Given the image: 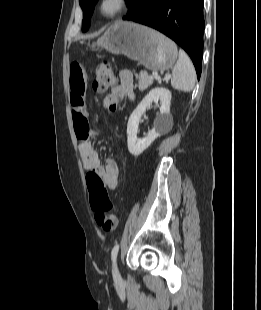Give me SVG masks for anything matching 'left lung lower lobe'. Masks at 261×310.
<instances>
[{
    "instance_id": "1",
    "label": "left lung lower lobe",
    "mask_w": 261,
    "mask_h": 310,
    "mask_svg": "<svg viewBox=\"0 0 261 310\" xmlns=\"http://www.w3.org/2000/svg\"><path fill=\"white\" fill-rule=\"evenodd\" d=\"M152 27L179 44L191 57L198 79L203 56V0H136L123 17Z\"/></svg>"
}]
</instances>
